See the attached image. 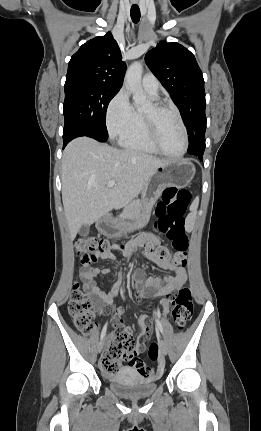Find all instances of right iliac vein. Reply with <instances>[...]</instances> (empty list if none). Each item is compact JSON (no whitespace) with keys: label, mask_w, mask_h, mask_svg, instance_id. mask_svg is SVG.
I'll use <instances>...</instances> for the list:
<instances>
[{"label":"right iliac vein","mask_w":261,"mask_h":431,"mask_svg":"<svg viewBox=\"0 0 261 431\" xmlns=\"http://www.w3.org/2000/svg\"><path fill=\"white\" fill-rule=\"evenodd\" d=\"M103 344H104L103 340H102V341H100V343H99V345H98V352H99V353L102 351Z\"/></svg>","instance_id":"1"}]
</instances>
